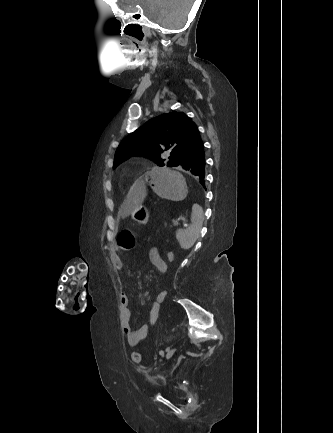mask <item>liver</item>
Returning a JSON list of instances; mask_svg holds the SVG:
<instances>
[{
    "label": "liver",
    "mask_w": 333,
    "mask_h": 433,
    "mask_svg": "<svg viewBox=\"0 0 333 433\" xmlns=\"http://www.w3.org/2000/svg\"><path fill=\"white\" fill-rule=\"evenodd\" d=\"M137 191L131 193L132 201H121L120 207L124 215H133L135 210H137L138 204L137 201H147L148 200V191L150 186L148 183H138Z\"/></svg>",
    "instance_id": "6515ba94"
}]
</instances>
